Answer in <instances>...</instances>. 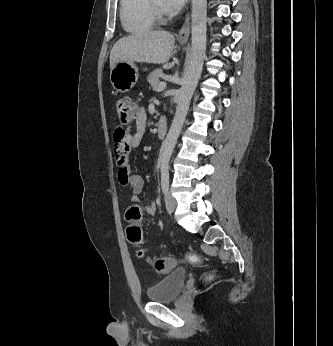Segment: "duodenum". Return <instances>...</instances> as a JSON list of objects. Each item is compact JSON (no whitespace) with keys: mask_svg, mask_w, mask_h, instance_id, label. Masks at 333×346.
<instances>
[{"mask_svg":"<svg viewBox=\"0 0 333 346\" xmlns=\"http://www.w3.org/2000/svg\"><path fill=\"white\" fill-rule=\"evenodd\" d=\"M168 131L167 121L163 118H160L157 122V135L159 138H164Z\"/></svg>","mask_w":333,"mask_h":346,"instance_id":"1","label":"duodenum"}]
</instances>
